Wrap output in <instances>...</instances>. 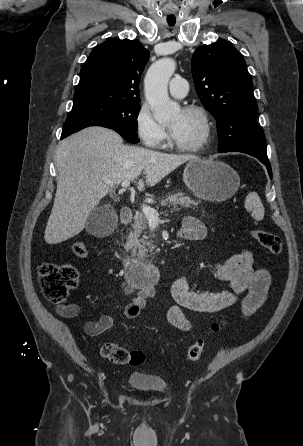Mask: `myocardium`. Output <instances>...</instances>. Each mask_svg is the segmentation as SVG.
I'll return each mask as SVG.
<instances>
[{"label":"myocardium","instance_id":"f54148a6","mask_svg":"<svg viewBox=\"0 0 303 446\" xmlns=\"http://www.w3.org/2000/svg\"><path fill=\"white\" fill-rule=\"evenodd\" d=\"M182 111L184 113H194L197 114L203 123V133L199 140L193 144L190 145H184L176 142L174 138H171V145L182 152H197L201 149H203L209 142L211 135H212V123L209 116L208 111L200 106V105H186L182 108Z\"/></svg>","mask_w":303,"mask_h":446}]
</instances>
